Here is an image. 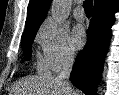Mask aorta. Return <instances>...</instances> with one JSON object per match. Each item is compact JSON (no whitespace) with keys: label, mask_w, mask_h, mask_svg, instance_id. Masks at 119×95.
<instances>
[{"label":"aorta","mask_w":119,"mask_h":95,"mask_svg":"<svg viewBox=\"0 0 119 95\" xmlns=\"http://www.w3.org/2000/svg\"><path fill=\"white\" fill-rule=\"evenodd\" d=\"M70 8L71 0H53L51 6L52 18L59 23L64 22L69 16Z\"/></svg>","instance_id":"aorta-1"}]
</instances>
